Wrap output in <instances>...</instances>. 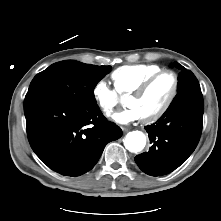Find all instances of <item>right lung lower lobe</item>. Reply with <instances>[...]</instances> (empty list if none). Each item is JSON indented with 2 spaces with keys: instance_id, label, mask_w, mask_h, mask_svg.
Returning <instances> with one entry per match:
<instances>
[{
  "instance_id": "obj_1",
  "label": "right lung lower lobe",
  "mask_w": 221,
  "mask_h": 221,
  "mask_svg": "<svg viewBox=\"0 0 221 221\" xmlns=\"http://www.w3.org/2000/svg\"><path fill=\"white\" fill-rule=\"evenodd\" d=\"M24 113L33 151L50 169L66 176L91 170L106 144L122 136L120 127L106 121L98 105L38 97L25 99Z\"/></svg>"
}]
</instances>
